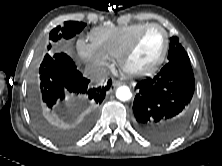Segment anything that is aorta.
<instances>
[{"label": "aorta", "mask_w": 222, "mask_h": 166, "mask_svg": "<svg viewBox=\"0 0 222 166\" xmlns=\"http://www.w3.org/2000/svg\"><path fill=\"white\" fill-rule=\"evenodd\" d=\"M116 97L121 101H128L132 97V93L128 86H121L116 90Z\"/></svg>", "instance_id": "obj_1"}]
</instances>
